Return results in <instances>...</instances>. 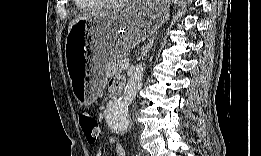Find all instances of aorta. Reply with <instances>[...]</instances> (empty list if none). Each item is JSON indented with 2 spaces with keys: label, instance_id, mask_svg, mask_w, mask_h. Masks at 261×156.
Wrapping results in <instances>:
<instances>
[{
  "label": "aorta",
  "instance_id": "obj_1",
  "mask_svg": "<svg viewBox=\"0 0 261 156\" xmlns=\"http://www.w3.org/2000/svg\"><path fill=\"white\" fill-rule=\"evenodd\" d=\"M143 71V66L137 65L126 84L122 96L112 99L107 104L105 111L106 125L115 134H124L128 131L130 124L128 108L142 87Z\"/></svg>",
  "mask_w": 261,
  "mask_h": 156
}]
</instances>
